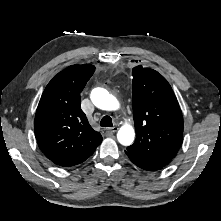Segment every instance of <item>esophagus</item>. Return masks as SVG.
I'll use <instances>...</instances> for the list:
<instances>
[{"label": "esophagus", "mask_w": 221, "mask_h": 221, "mask_svg": "<svg viewBox=\"0 0 221 221\" xmlns=\"http://www.w3.org/2000/svg\"><path fill=\"white\" fill-rule=\"evenodd\" d=\"M107 130H108V132L114 133V132H116L118 130V127L117 126H113V127L108 128Z\"/></svg>", "instance_id": "34e87169"}]
</instances>
